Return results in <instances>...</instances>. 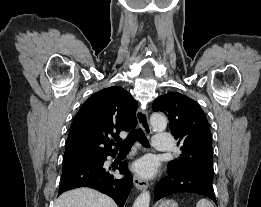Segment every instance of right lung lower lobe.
<instances>
[{"instance_id":"right-lung-lower-lobe-1","label":"right lung lower lobe","mask_w":261,"mask_h":207,"mask_svg":"<svg viewBox=\"0 0 261 207\" xmlns=\"http://www.w3.org/2000/svg\"><path fill=\"white\" fill-rule=\"evenodd\" d=\"M107 156L100 157V160L93 165L63 170L58 195L70 189L90 187L109 195L119 207H123L132 187V175L127 169L125 161L121 162L118 167H105L104 162L107 160ZM116 168L125 175V178L117 179L111 174V171Z\"/></svg>"}]
</instances>
